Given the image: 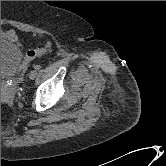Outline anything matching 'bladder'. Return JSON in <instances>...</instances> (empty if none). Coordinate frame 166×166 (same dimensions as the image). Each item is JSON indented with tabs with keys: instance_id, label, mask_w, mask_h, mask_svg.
<instances>
[{
	"instance_id": "1",
	"label": "bladder",
	"mask_w": 166,
	"mask_h": 166,
	"mask_svg": "<svg viewBox=\"0 0 166 166\" xmlns=\"http://www.w3.org/2000/svg\"><path fill=\"white\" fill-rule=\"evenodd\" d=\"M22 64L21 50L12 41L1 38V81H17L21 74Z\"/></svg>"
}]
</instances>
